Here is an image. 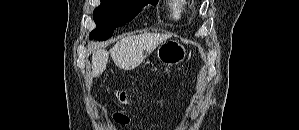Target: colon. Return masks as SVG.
<instances>
[{"label":"colon","instance_id":"1","mask_svg":"<svg viewBox=\"0 0 299 130\" xmlns=\"http://www.w3.org/2000/svg\"><path fill=\"white\" fill-rule=\"evenodd\" d=\"M117 98L121 103H127L131 101V97L124 91H118Z\"/></svg>","mask_w":299,"mask_h":130}]
</instances>
